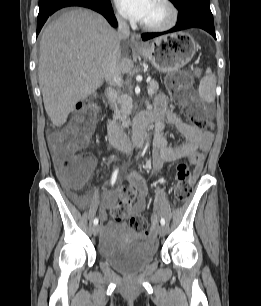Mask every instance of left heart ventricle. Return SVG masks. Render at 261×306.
<instances>
[{
	"label": "left heart ventricle",
	"mask_w": 261,
	"mask_h": 306,
	"mask_svg": "<svg viewBox=\"0 0 261 306\" xmlns=\"http://www.w3.org/2000/svg\"><path fill=\"white\" fill-rule=\"evenodd\" d=\"M166 17V9L157 0H152L149 10L142 22L159 23L164 21Z\"/></svg>",
	"instance_id": "b2bd125f"
}]
</instances>
